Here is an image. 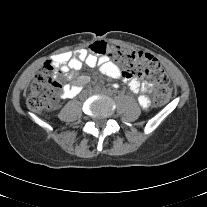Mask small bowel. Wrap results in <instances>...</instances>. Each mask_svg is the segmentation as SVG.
Here are the masks:
<instances>
[{
    "instance_id": "1",
    "label": "small bowel",
    "mask_w": 207,
    "mask_h": 207,
    "mask_svg": "<svg viewBox=\"0 0 207 207\" xmlns=\"http://www.w3.org/2000/svg\"><path fill=\"white\" fill-rule=\"evenodd\" d=\"M101 43L95 42L91 45L90 51L80 49L73 55L71 52H63L54 55L49 60L53 61L59 68L60 73L67 76L69 83L61 87V96L63 98H73L78 95L83 87L89 82L88 75L75 76V72L80 70L83 66L90 68L98 67L99 71L108 78L118 79L123 78L128 82L129 89L134 94L140 92H148L150 87L145 83H141L137 77L125 78L119 66L113 62L108 56L104 54H97L92 50V47ZM138 102L143 109H147L150 105V97L147 94H140Z\"/></svg>"
}]
</instances>
